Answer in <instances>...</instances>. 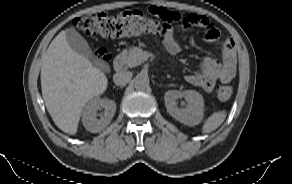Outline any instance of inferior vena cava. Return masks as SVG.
Masks as SVG:
<instances>
[{
	"instance_id": "inferior-vena-cava-1",
	"label": "inferior vena cava",
	"mask_w": 292,
	"mask_h": 184,
	"mask_svg": "<svg viewBox=\"0 0 292 184\" xmlns=\"http://www.w3.org/2000/svg\"><path fill=\"white\" fill-rule=\"evenodd\" d=\"M132 73L130 71H119L113 76V81L117 86H125L131 79Z\"/></svg>"
}]
</instances>
